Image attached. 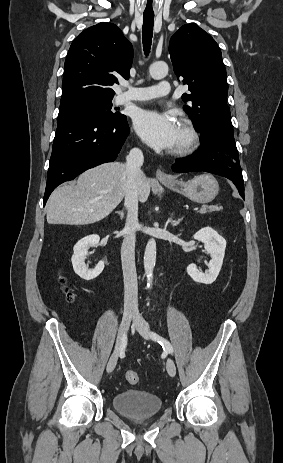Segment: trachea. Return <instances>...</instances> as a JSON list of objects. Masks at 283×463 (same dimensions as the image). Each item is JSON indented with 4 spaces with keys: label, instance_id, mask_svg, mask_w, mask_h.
Masks as SVG:
<instances>
[{
    "label": "trachea",
    "instance_id": "1",
    "mask_svg": "<svg viewBox=\"0 0 283 463\" xmlns=\"http://www.w3.org/2000/svg\"><path fill=\"white\" fill-rule=\"evenodd\" d=\"M154 26V15H144L142 27V42L145 55L150 53Z\"/></svg>",
    "mask_w": 283,
    "mask_h": 463
}]
</instances>
